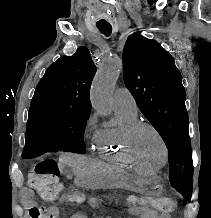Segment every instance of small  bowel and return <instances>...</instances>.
I'll use <instances>...</instances> for the list:
<instances>
[{"instance_id": "c3829d8e", "label": "small bowel", "mask_w": 211, "mask_h": 218, "mask_svg": "<svg viewBox=\"0 0 211 218\" xmlns=\"http://www.w3.org/2000/svg\"><path fill=\"white\" fill-rule=\"evenodd\" d=\"M22 202L26 207L32 208L36 206L34 192L30 188H23L21 191ZM88 204L92 207H95L99 204L98 201L91 200L88 201ZM132 211L137 214L145 215L148 218H160L157 215L156 211L149 208L135 207L132 208ZM45 213L48 218H57L58 209L56 207H49L45 209Z\"/></svg>"}]
</instances>
